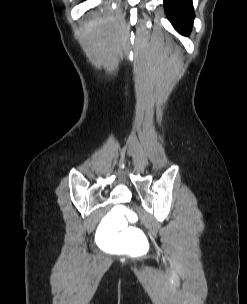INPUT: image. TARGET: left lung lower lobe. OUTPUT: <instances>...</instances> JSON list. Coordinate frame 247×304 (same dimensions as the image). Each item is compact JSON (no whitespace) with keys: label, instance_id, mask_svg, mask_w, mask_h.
Returning <instances> with one entry per match:
<instances>
[{"label":"left lung lower lobe","instance_id":"0a47b994","mask_svg":"<svg viewBox=\"0 0 247 304\" xmlns=\"http://www.w3.org/2000/svg\"><path fill=\"white\" fill-rule=\"evenodd\" d=\"M164 8L174 28L188 35L195 17L192 0H164Z\"/></svg>","mask_w":247,"mask_h":304}]
</instances>
